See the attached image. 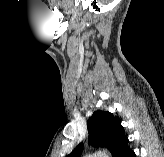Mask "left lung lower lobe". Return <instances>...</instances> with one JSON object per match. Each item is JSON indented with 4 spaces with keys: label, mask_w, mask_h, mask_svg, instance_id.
<instances>
[{
    "label": "left lung lower lobe",
    "mask_w": 164,
    "mask_h": 157,
    "mask_svg": "<svg viewBox=\"0 0 164 157\" xmlns=\"http://www.w3.org/2000/svg\"><path fill=\"white\" fill-rule=\"evenodd\" d=\"M128 139L122 141L113 151V157H136L134 151L128 146Z\"/></svg>",
    "instance_id": "1"
}]
</instances>
